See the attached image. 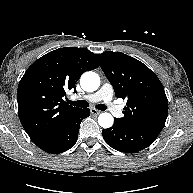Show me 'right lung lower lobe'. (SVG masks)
<instances>
[{"mask_svg":"<svg viewBox=\"0 0 193 193\" xmlns=\"http://www.w3.org/2000/svg\"><path fill=\"white\" fill-rule=\"evenodd\" d=\"M90 115L88 108L80 112L68 121L55 135L44 143L38 145L40 149L48 153H61L70 149L78 138L81 121Z\"/></svg>","mask_w":193,"mask_h":193,"instance_id":"1","label":"right lung lower lobe"}]
</instances>
